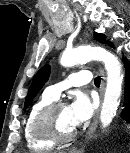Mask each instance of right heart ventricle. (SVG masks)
Here are the masks:
<instances>
[{"label":"right heart ventricle","mask_w":130,"mask_h":153,"mask_svg":"<svg viewBox=\"0 0 130 153\" xmlns=\"http://www.w3.org/2000/svg\"><path fill=\"white\" fill-rule=\"evenodd\" d=\"M55 101V98L44 92L42 96L33 104L25 119L23 125V136L26 145L33 151L47 152L55 147V142L39 135L33 128L35 117L39 111Z\"/></svg>","instance_id":"1"}]
</instances>
